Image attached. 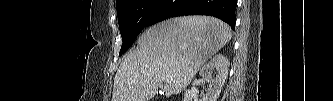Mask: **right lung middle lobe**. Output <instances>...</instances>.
Masks as SVG:
<instances>
[{
  "label": "right lung middle lobe",
  "mask_w": 333,
  "mask_h": 101,
  "mask_svg": "<svg viewBox=\"0 0 333 101\" xmlns=\"http://www.w3.org/2000/svg\"><path fill=\"white\" fill-rule=\"evenodd\" d=\"M165 0H119L116 2L118 23L122 36V55L140 32L152 24L153 18Z\"/></svg>",
  "instance_id": "right-lung-middle-lobe-1"
}]
</instances>
